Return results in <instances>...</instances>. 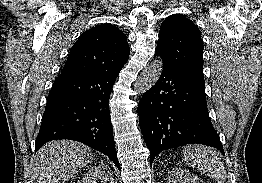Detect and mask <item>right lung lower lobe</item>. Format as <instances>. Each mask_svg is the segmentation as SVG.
<instances>
[{
  "instance_id": "98d812e1",
  "label": "right lung lower lobe",
  "mask_w": 262,
  "mask_h": 183,
  "mask_svg": "<svg viewBox=\"0 0 262 183\" xmlns=\"http://www.w3.org/2000/svg\"><path fill=\"white\" fill-rule=\"evenodd\" d=\"M119 72L58 76L48 95L35 151L48 141L70 139L104 153L120 168L108 104Z\"/></svg>"
}]
</instances>
